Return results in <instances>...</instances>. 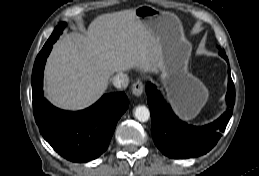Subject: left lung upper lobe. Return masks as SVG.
I'll return each mask as SVG.
<instances>
[{
  "label": "left lung upper lobe",
  "mask_w": 259,
  "mask_h": 176,
  "mask_svg": "<svg viewBox=\"0 0 259 176\" xmlns=\"http://www.w3.org/2000/svg\"><path fill=\"white\" fill-rule=\"evenodd\" d=\"M220 55H222L223 57L226 56V55L222 52V50H220Z\"/></svg>",
  "instance_id": "left-lung-upper-lobe-1"
}]
</instances>
